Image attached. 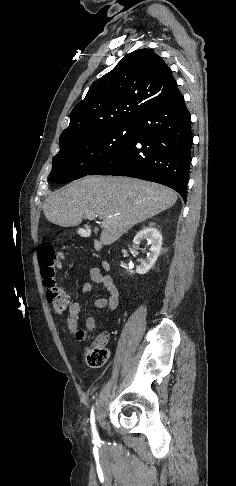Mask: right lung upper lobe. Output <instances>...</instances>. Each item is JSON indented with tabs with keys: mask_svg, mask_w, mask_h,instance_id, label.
<instances>
[{
	"mask_svg": "<svg viewBox=\"0 0 236 486\" xmlns=\"http://www.w3.org/2000/svg\"><path fill=\"white\" fill-rule=\"evenodd\" d=\"M170 68L151 49L126 55L94 82L72 110L60 142L94 130L132 124L149 109L182 98Z\"/></svg>",
	"mask_w": 236,
	"mask_h": 486,
	"instance_id": "cb5924a9",
	"label": "right lung upper lobe"
}]
</instances>
